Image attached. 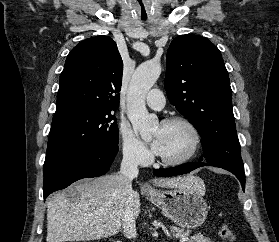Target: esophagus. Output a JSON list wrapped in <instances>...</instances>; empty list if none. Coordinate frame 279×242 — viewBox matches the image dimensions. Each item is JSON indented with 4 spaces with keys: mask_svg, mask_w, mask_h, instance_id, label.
Instances as JSON below:
<instances>
[{
    "mask_svg": "<svg viewBox=\"0 0 279 242\" xmlns=\"http://www.w3.org/2000/svg\"><path fill=\"white\" fill-rule=\"evenodd\" d=\"M144 189H145L146 191H151V190H152V188H151L150 185H145V186H144Z\"/></svg>",
    "mask_w": 279,
    "mask_h": 242,
    "instance_id": "34e87169",
    "label": "esophagus"
}]
</instances>
